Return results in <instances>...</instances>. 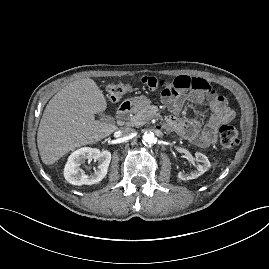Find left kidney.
I'll list each match as a JSON object with an SVG mask.
<instances>
[{
  "mask_svg": "<svg viewBox=\"0 0 269 269\" xmlns=\"http://www.w3.org/2000/svg\"><path fill=\"white\" fill-rule=\"evenodd\" d=\"M195 157L199 162H201V164L197 165V170L194 173L186 174L185 172L180 171L178 173V178L180 180L186 181V180L198 178L211 167L210 161L204 154L200 152H196Z\"/></svg>",
  "mask_w": 269,
  "mask_h": 269,
  "instance_id": "1",
  "label": "left kidney"
}]
</instances>
